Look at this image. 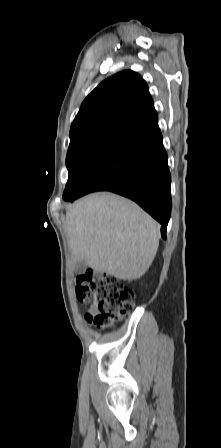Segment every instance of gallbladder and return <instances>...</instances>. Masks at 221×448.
<instances>
[{"label":"gallbladder","instance_id":"gallbladder-1","mask_svg":"<svg viewBox=\"0 0 221 448\" xmlns=\"http://www.w3.org/2000/svg\"><path fill=\"white\" fill-rule=\"evenodd\" d=\"M86 268V264L83 261H77L75 263L76 272H83Z\"/></svg>","mask_w":221,"mask_h":448}]
</instances>
